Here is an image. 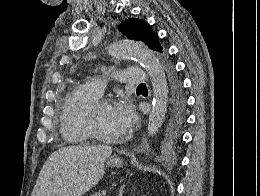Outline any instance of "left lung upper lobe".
<instances>
[{"label":"left lung upper lobe","mask_w":260,"mask_h":196,"mask_svg":"<svg viewBox=\"0 0 260 196\" xmlns=\"http://www.w3.org/2000/svg\"><path fill=\"white\" fill-rule=\"evenodd\" d=\"M118 28L128 39L142 41L151 49L160 53L167 82L166 106L163 122L154 139L153 147L158 150L172 151L180 142L181 129L185 121L186 102L181 81L167 56L166 48L161 45L158 35L153 32L146 21L130 18L122 22Z\"/></svg>","instance_id":"1"}]
</instances>
